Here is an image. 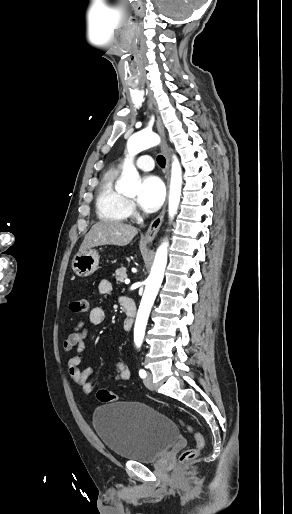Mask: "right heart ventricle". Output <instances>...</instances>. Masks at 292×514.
Returning a JSON list of instances; mask_svg holds the SVG:
<instances>
[{"mask_svg":"<svg viewBox=\"0 0 292 514\" xmlns=\"http://www.w3.org/2000/svg\"><path fill=\"white\" fill-rule=\"evenodd\" d=\"M118 177V171L113 169L108 170L101 177L95 198L96 214L100 220L122 221L129 214L125 195L115 187Z\"/></svg>","mask_w":292,"mask_h":514,"instance_id":"obj_1","label":"right heart ventricle"}]
</instances>
